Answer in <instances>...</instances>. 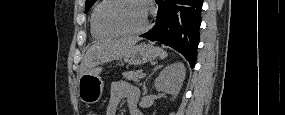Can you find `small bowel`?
<instances>
[{
    "mask_svg": "<svg viewBox=\"0 0 285 115\" xmlns=\"http://www.w3.org/2000/svg\"><path fill=\"white\" fill-rule=\"evenodd\" d=\"M137 100L138 91L133 85L126 81H115L111 86L106 115H116L122 102L128 104L130 115H140V111L136 107Z\"/></svg>",
    "mask_w": 285,
    "mask_h": 115,
    "instance_id": "1",
    "label": "small bowel"
}]
</instances>
